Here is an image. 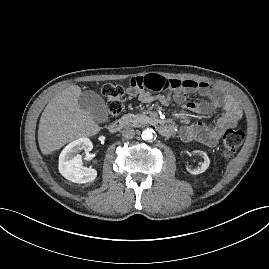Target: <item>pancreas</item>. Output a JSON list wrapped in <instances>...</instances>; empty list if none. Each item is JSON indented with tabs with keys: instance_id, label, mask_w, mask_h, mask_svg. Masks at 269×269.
<instances>
[{
	"instance_id": "1",
	"label": "pancreas",
	"mask_w": 269,
	"mask_h": 269,
	"mask_svg": "<svg viewBox=\"0 0 269 269\" xmlns=\"http://www.w3.org/2000/svg\"><path fill=\"white\" fill-rule=\"evenodd\" d=\"M121 122L133 127H141L147 123L149 117L145 114H125L121 117Z\"/></svg>"
}]
</instances>
